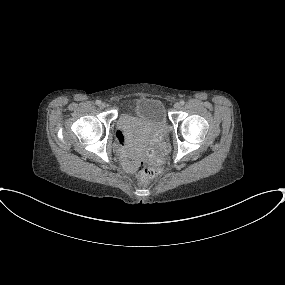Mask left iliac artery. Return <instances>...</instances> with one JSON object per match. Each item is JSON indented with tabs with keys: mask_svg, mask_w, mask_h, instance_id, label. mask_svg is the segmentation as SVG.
<instances>
[{
	"mask_svg": "<svg viewBox=\"0 0 285 285\" xmlns=\"http://www.w3.org/2000/svg\"><path fill=\"white\" fill-rule=\"evenodd\" d=\"M180 103H181V105H184L185 102L183 100H181Z\"/></svg>",
	"mask_w": 285,
	"mask_h": 285,
	"instance_id": "44dca946",
	"label": "left iliac artery"
}]
</instances>
